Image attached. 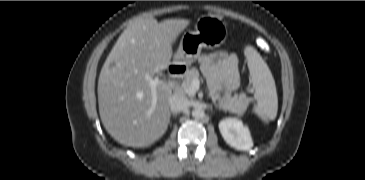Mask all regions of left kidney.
I'll use <instances>...</instances> for the list:
<instances>
[{"instance_id": "5707ae66", "label": "left kidney", "mask_w": 365, "mask_h": 180, "mask_svg": "<svg viewBox=\"0 0 365 180\" xmlns=\"http://www.w3.org/2000/svg\"><path fill=\"white\" fill-rule=\"evenodd\" d=\"M219 130L231 147L237 150H249L253 146V141L248 127L235 118H226L220 121Z\"/></svg>"}]
</instances>
